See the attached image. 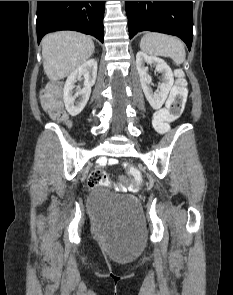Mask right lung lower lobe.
Listing matches in <instances>:
<instances>
[{"instance_id": "98d812e1", "label": "right lung lower lobe", "mask_w": 233, "mask_h": 295, "mask_svg": "<svg viewBox=\"0 0 233 295\" xmlns=\"http://www.w3.org/2000/svg\"><path fill=\"white\" fill-rule=\"evenodd\" d=\"M105 1H37V39L49 32L75 30L103 43Z\"/></svg>"}]
</instances>
